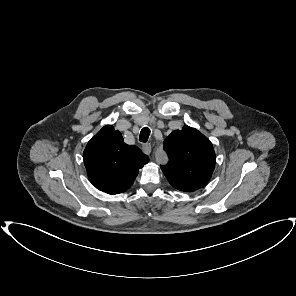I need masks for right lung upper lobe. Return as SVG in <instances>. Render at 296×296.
<instances>
[{
    "label": "right lung upper lobe",
    "mask_w": 296,
    "mask_h": 296,
    "mask_svg": "<svg viewBox=\"0 0 296 296\" xmlns=\"http://www.w3.org/2000/svg\"><path fill=\"white\" fill-rule=\"evenodd\" d=\"M83 159L91 183L112 195L129 189L149 161L137 146L125 144L112 125L103 127L88 142Z\"/></svg>",
    "instance_id": "obj_1"
}]
</instances>
